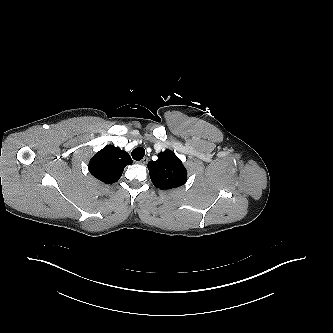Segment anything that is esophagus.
<instances>
[{
    "label": "esophagus",
    "instance_id": "1",
    "mask_svg": "<svg viewBox=\"0 0 333 333\" xmlns=\"http://www.w3.org/2000/svg\"><path fill=\"white\" fill-rule=\"evenodd\" d=\"M148 162V158L147 157H144L142 160H140L138 163L141 164V165H145L147 164Z\"/></svg>",
    "mask_w": 333,
    "mask_h": 333
}]
</instances>
